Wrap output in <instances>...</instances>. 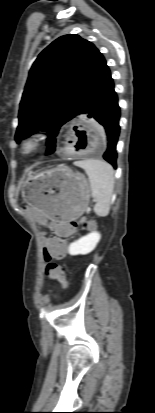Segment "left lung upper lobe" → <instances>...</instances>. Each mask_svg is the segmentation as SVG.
I'll return each mask as SVG.
<instances>
[{
    "label": "left lung upper lobe",
    "mask_w": 155,
    "mask_h": 413,
    "mask_svg": "<svg viewBox=\"0 0 155 413\" xmlns=\"http://www.w3.org/2000/svg\"><path fill=\"white\" fill-rule=\"evenodd\" d=\"M99 50L78 35H64L45 48L33 63L23 92L15 140L47 131V154L55 151L60 127L79 109L103 71Z\"/></svg>",
    "instance_id": "left-lung-upper-lobe-1"
}]
</instances>
